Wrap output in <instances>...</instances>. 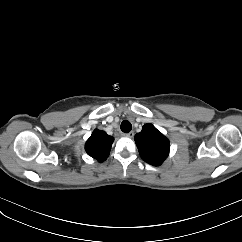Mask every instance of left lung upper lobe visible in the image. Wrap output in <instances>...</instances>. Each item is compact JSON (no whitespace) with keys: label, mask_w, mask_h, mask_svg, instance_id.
<instances>
[{"label":"left lung upper lobe","mask_w":242,"mask_h":242,"mask_svg":"<svg viewBox=\"0 0 242 242\" xmlns=\"http://www.w3.org/2000/svg\"><path fill=\"white\" fill-rule=\"evenodd\" d=\"M135 142L141 158L154 166H159L169 154V140L152 124L142 127V131L135 135Z\"/></svg>","instance_id":"5c2ea615"}]
</instances>
